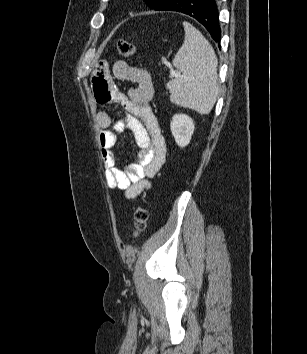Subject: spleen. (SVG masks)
Masks as SVG:
<instances>
[{
	"mask_svg": "<svg viewBox=\"0 0 307 354\" xmlns=\"http://www.w3.org/2000/svg\"><path fill=\"white\" fill-rule=\"evenodd\" d=\"M183 26L184 43L173 59V65L182 74L166 85L171 93L170 101L200 114H208L218 96V60L200 31L187 22Z\"/></svg>",
	"mask_w": 307,
	"mask_h": 354,
	"instance_id": "1",
	"label": "spleen"
}]
</instances>
